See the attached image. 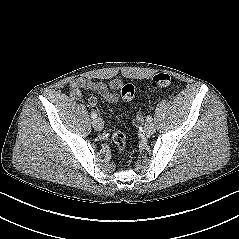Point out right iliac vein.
I'll return each instance as SVG.
<instances>
[{"label": "right iliac vein", "instance_id": "1", "mask_svg": "<svg viewBox=\"0 0 239 239\" xmlns=\"http://www.w3.org/2000/svg\"><path fill=\"white\" fill-rule=\"evenodd\" d=\"M92 124L96 131L100 132L104 128V123L101 118H97V119L93 120Z\"/></svg>", "mask_w": 239, "mask_h": 239}]
</instances>
